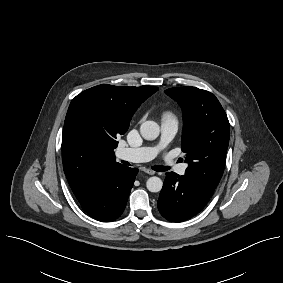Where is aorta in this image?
<instances>
[{
    "label": "aorta",
    "mask_w": 283,
    "mask_h": 283,
    "mask_svg": "<svg viewBox=\"0 0 283 283\" xmlns=\"http://www.w3.org/2000/svg\"><path fill=\"white\" fill-rule=\"evenodd\" d=\"M140 133L146 140H155L160 133L159 125L154 121H145L140 126ZM163 182L159 177H150L146 182V187L150 192L161 191Z\"/></svg>",
    "instance_id": "obj_1"
}]
</instances>
